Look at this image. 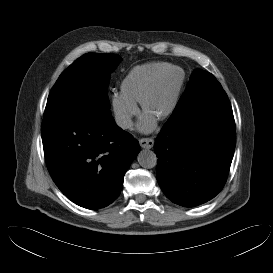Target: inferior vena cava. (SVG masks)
<instances>
[{
    "label": "inferior vena cava",
    "instance_id": "602c4592",
    "mask_svg": "<svg viewBox=\"0 0 273 273\" xmlns=\"http://www.w3.org/2000/svg\"><path fill=\"white\" fill-rule=\"evenodd\" d=\"M116 124L122 129H129L132 127V120L126 115H117L115 118Z\"/></svg>",
    "mask_w": 273,
    "mask_h": 273
}]
</instances>
